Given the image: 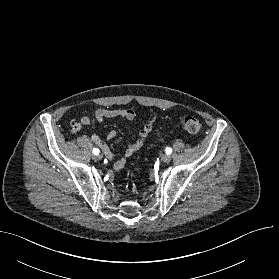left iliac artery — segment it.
I'll return each mask as SVG.
<instances>
[{
    "label": "left iliac artery",
    "mask_w": 279,
    "mask_h": 279,
    "mask_svg": "<svg viewBox=\"0 0 279 279\" xmlns=\"http://www.w3.org/2000/svg\"><path fill=\"white\" fill-rule=\"evenodd\" d=\"M165 152H166V154H171V153H172V149L169 148V147H167V148L165 149Z\"/></svg>",
    "instance_id": "44dca946"
}]
</instances>
